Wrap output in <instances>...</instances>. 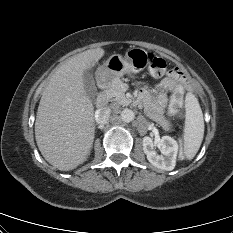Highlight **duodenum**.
Wrapping results in <instances>:
<instances>
[{
	"label": "duodenum",
	"instance_id": "410a0bca",
	"mask_svg": "<svg viewBox=\"0 0 233 233\" xmlns=\"http://www.w3.org/2000/svg\"><path fill=\"white\" fill-rule=\"evenodd\" d=\"M110 82L107 78H101L99 81V87L101 91L99 92L97 99H96V105L98 108H103L107 105L109 96L107 93V88L109 86Z\"/></svg>",
	"mask_w": 233,
	"mask_h": 233
}]
</instances>
